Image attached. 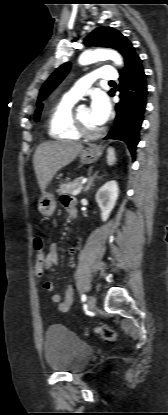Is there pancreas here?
I'll use <instances>...</instances> for the list:
<instances>
[{"label":"pancreas","instance_id":"pancreas-1","mask_svg":"<svg viewBox=\"0 0 168 415\" xmlns=\"http://www.w3.org/2000/svg\"><path fill=\"white\" fill-rule=\"evenodd\" d=\"M81 178L75 179L71 182L63 183L60 185V188L57 190L59 195L61 194H73V192L80 186Z\"/></svg>","mask_w":168,"mask_h":415}]
</instances>
